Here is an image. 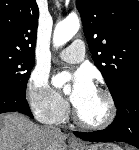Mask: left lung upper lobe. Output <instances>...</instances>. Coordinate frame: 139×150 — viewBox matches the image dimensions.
Here are the masks:
<instances>
[{
    "instance_id": "obj_1",
    "label": "left lung upper lobe",
    "mask_w": 139,
    "mask_h": 150,
    "mask_svg": "<svg viewBox=\"0 0 139 150\" xmlns=\"http://www.w3.org/2000/svg\"><path fill=\"white\" fill-rule=\"evenodd\" d=\"M96 67L114 102L139 78V1L76 0Z\"/></svg>"
}]
</instances>
